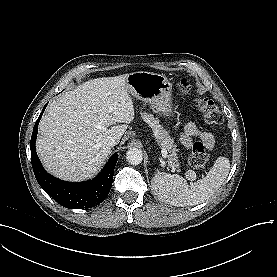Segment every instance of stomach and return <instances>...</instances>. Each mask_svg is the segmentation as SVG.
Segmentation results:
<instances>
[{
	"label": "stomach",
	"mask_w": 277,
	"mask_h": 277,
	"mask_svg": "<svg viewBox=\"0 0 277 277\" xmlns=\"http://www.w3.org/2000/svg\"><path fill=\"white\" fill-rule=\"evenodd\" d=\"M126 87L132 96L151 104L157 113L165 117L173 115L172 84L164 74L147 71L130 73Z\"/></svg>",
	"instance_id": "stomach-1"
}]
</instances>
